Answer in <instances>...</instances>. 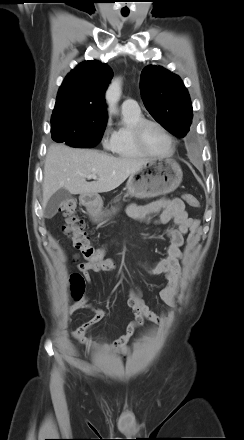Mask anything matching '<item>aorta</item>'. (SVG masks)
I'll return each mask as SVG.
<instances>
[{
	"label": "aorta",
	"instance_id": "obj_1",
	"mask_svg": "<svg viewBox=\"0 0 244 440\" xmlns=\"http://www.w3.org/2000/svg\"><path fill=\"white\" fill-rule=\"evenodd\" d=\"M120 96H121V80L115 79L111 82L105 94L106 103L108 105V110L110 113L113 114L117 113L116 106L120 99Z\"/></svg>",
	"mask_w": 244,
	"mask_h": 440
}]
</instances>
